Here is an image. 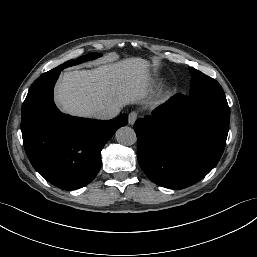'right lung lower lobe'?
Returning <instances> with one entry per match:
<instances>
[{
	"label": "right lung lower lobe",
	"instance_id": "98d812e1",
	"mask_svg": "<svg viewBox=\"0 0 257 257\" xmlns=\"http://www.w3.org/2000/svg\"><path fill=\"white\" fill-rule=\"evenodd\" d=\"M63 68L43 73L22 106L21 131L26 154L37 172L64 190L86 186L101 167V150L128 115L102 121L61 113L53 87Z\"/></svg>",
	"mask_w": 257,
	"mask_h": 257
}]
</instances>
